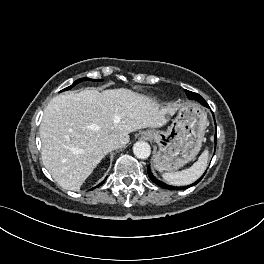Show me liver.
Wrapping results in <instances>:
<instances>
[{
	"instance_id": "obj_1",
	"label": "liver",
	"mask_w": 264,
	"mask_h": 264,
	"mask_svg": "<svg viewBox=\"0 0 264 264\" xmlns=\"http://www.w3.org/2000/svg\"><path fill=\"white\" fill-rule=\"evenodd\" d=\"M177 109L176 104L161 107L124 88L57 95L46 106L40 125L43 165L62 188L79 191L108 153V141L124 147L129 133L160 128Z\"/></svg>"
}]
</instances>
